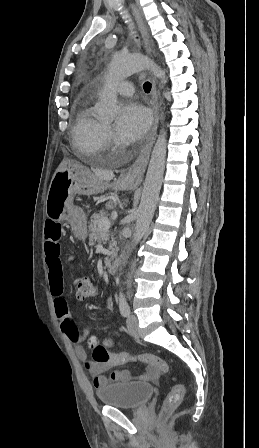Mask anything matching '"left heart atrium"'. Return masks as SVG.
<instances>
[{
    "instance_id": "obj_1",
    "label": "left heart atrium",
    "mask_w": 259,
    "mask_h": 448,
    "mask_svg": "<svg viewBox=\"0 0 259 448\" xmlns=\"http://www.w3.org/2000/svg\"><path fill=\"white\" fill-rule=\"evenodd\" d=\"M149 124L148 110L137 101H128L120 109L116 128L123 142L132 143L144 136Z\"/></svg>"
}]
</instances>
